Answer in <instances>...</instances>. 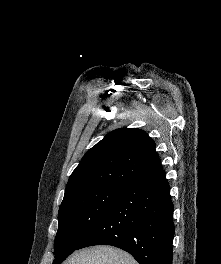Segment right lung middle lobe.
Listing matches in <instances>:
<instances>
[{"mask_svg": "<svg viewBox=\"0 0 221 264\" xmlns=\"http://www.w3.org/2000/svg\"><path fill=\"white\" fill-rule=\"evenodd\" d=\"M126 185L103 184L93 186L63 199L59 208L53 264H61L94 231Z\"/></svg>", "mask_w": 221, "mask_h": 264, "instance_id": "obj_1", "label": "right lung middle lobe"}]
</instances>
